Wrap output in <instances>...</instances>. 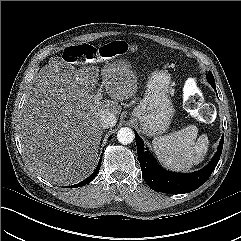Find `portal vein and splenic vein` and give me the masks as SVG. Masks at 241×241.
Masks as SVG:
<instances>
[{"instance_id":"1","label":"portal vein and splenic vein","mask_w":241,"mask_h":241,"mask_svg":"<svg viewBox=\"0 0 241 241\" xmlns=\"http://www.w3.org/2000/svg\"><path fill=\"white\" fill-rule=\"evenodd\" d=\"M96 98L97 99H101L102 98V87H100L97 91V94H96Z\"/></svg>"}]
</instances>
